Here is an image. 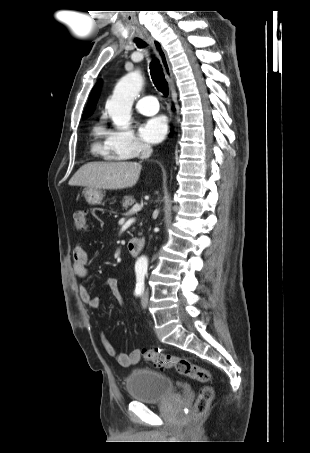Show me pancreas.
Masks as SVG:
<instances>
[{
  "mask_svg": "<svg viewBox=\"0 0 310 453\" xmlns=\"http://www.w3.org/2000/svg\"><path fill=\"white\" fill-rule=\"evenodd\" d=\"M135 203V199L132 196H125L122 201L123 209H127Z\"/></svg>",
  "mask_w": 310,
  "mask_h": 453,
  "instance_id": "1",
  "label": "pancreas"
}]
</instances>
